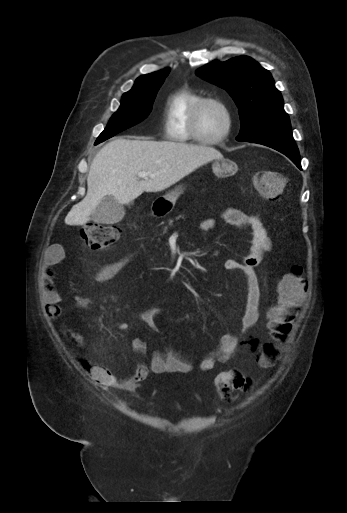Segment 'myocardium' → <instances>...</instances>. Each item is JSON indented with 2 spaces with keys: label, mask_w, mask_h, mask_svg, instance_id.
I'll use <instances>...</instances> for the list:
<instances>
[{
  "label": "myocardium",
  "mask_w": 347,
  "mask_h": 513,
  "mask_svg": "<svg viewBox=\"0 0 347 513\" xmlns=\"http://www.w3.org/2000/svg\"><path fill=\"white\" fill-rule=\"evenodd\" d=\"M208 103H214V104L219 105L225 112L226 119H227L225 131L220 136L215 137V138L203 137L199 131V125H198L199 115H200L202 108ZM233 123H234L233 112H232L229 104L223 100L218 99V98L206 96V97L201 98L198 101V103L195 105V107L193 108V110L191 112V116H190L189 128H190V132H191L192 136L196 140H198L200 143L205 144V145H216V144L223 142L225 139H227L229 137V135L232 131V128H233Z\"/></svg>",
  "instance_id": "f54148a6"
}]
</instances>
